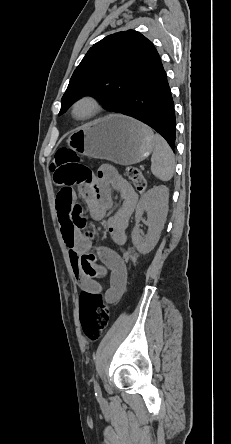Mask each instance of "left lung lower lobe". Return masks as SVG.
I'll use <instances>...</instances> for the list:
<instances>
[{"instance_id":"left-lung-lower-lobe-1","label":"left lung lower lobe","mask_w":231,"mask_h":444,"mask_svg":"<svg viewBox=\"0 0 231 444\" xmlns=\"http://www.w3.org/2000/svg\"><path fill=\"white\" fill-rule=\"evenodd\" d=\"M147 124L175 149L176 120L166 72L159 55L138 79L124 107L118 112Z\"/></svg>"}]
</instances>
